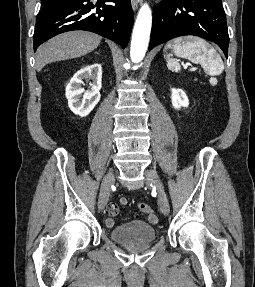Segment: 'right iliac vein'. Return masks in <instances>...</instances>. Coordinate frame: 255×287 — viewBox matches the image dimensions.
<instances>
[{
	"label": "right iliac vein",
	"mask_w": 255,
	"mask_h": 287,
	"mask_svg": "<svg viewBox=\"0 0 255 287\" xmlns=\"http://www.w3.org/2000/svg\"><path fill=\"white\" fill-rule=\"evenodd\" d=\"M115 177L113 172H109L101 185L100 189V195H99V200H98V208L100 210H103L105 206L107 205L108 199H109V194H110V189L112 184L114 183Z\"/></svg>",
	"instance_id": "obj_1"
}]
</instances>
